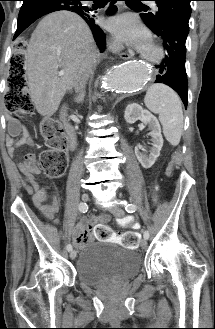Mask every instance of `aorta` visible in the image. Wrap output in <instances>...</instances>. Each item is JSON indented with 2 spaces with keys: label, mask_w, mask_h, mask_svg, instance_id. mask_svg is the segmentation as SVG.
<instances>
[{
  "label": "aorta",
  "mask_w": 215,
  "mask_h": 329,
  "mask_svg": "<svg viewBox=\"0 0 215 329\" xmlns=\"http://www.w3.org/2000/svg\"><path fill=\"white\" fill-rule=\"evenodd\" d=\"M149 77L148 69L138 62L115 63L105 72L99 87L104 93H130L142 89Z\"/></svg>",
  "instance_id": "aorta-1"
}]
</instances>
